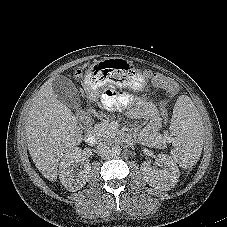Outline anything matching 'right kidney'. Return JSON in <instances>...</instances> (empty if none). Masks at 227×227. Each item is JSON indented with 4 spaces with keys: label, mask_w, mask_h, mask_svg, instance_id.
<instances>
[{
    "label": "right kidney",
    "mask_w": 227,
    "mask_h": 227,
    "mask_svg": "<svg viewBox=\"0 0 227 227\" xmlns=\"http://www.w3.org/2000/svg\"><path fill=\"white\" fill-rule=\"evenodd\" d=\"M82 161V151L75 147L66 152L59 164V179L70 192L80 190L89 180L91 167L84 162L80 169H76Z\"/></svg>",
    "instance_id": "1"
}]
</instances>
